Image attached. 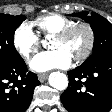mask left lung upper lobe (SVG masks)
<instances>
[{
    "label": "left lung upper lobe",
    "instance_id": "left-lung-upper-lobe-1",
    "mask_svg": "<svg viewBox=\"0 0 112 112\" xmlns=\"http://www.w3.org/2000/svg\"><path fill=\"white\" fill-rule=\"evenodd\" d=\"M72 16L80 17L90 23L94 32L93 54L81 66H89L96 60L112 56V24L95 12L73 13Z\"/></svg>",
    "mask_w": 112,
    "mask_h": 112
}]
</instances>
